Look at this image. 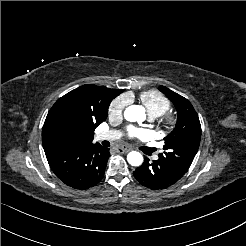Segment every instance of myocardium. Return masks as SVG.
<instances>
[{"mask_svg":"<svg viewBox=\"0 0 246 246\" xmlns=\"http://www.w3.org/2000/svg\"><path fill=\"white\" fill-rule=\"evenodd\" d=\"M156 119L158 121L159 126L162 129L168 130V129L173 127V125L176 122L177 117H176L175 113L167 111L164 114H162L161 116L156 117Z\"/></svg>","mask_w":246,"mask_h":246,"instance_id":"myocardium-1","label":"myocardium"}]
</instances>
